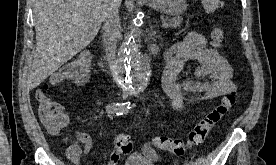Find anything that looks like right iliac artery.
Masks as SVG:
<instances>
[{
	"mask_svg": "<svg viewBox=\"0 0 276 165\" xmlns=\"http://www.w3.org/2000/svg\"><path fill=\"white\" fill-rule=\"evenodd\" d=\"M130 109H131L130 102L109 104L106 107V110L108 113L115 114V115L126 114Z\"/></svg>",
	"mask_w": 276,
	"mask_h": 165,
	"instance_id": "1",
	"label": "right iliac artery"
}]
</instances>
